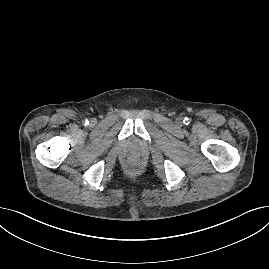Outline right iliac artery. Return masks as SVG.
<instances>
[{"mask_svg":"<svg viewBox=\"0 0 269 269\" xmlns=\"http://www.w3.org/2000/svg\"><path fill=\"white\" fill-rule=\"evenodd\" d=\"M84 124H85V125L89 124V121L86 119V120L84 121Z\"/></svg>","mask_w":269,"mask_h":269,"instance_id":"right-iliac-artery-1","label":"right iliac artery"}]
</instances>
